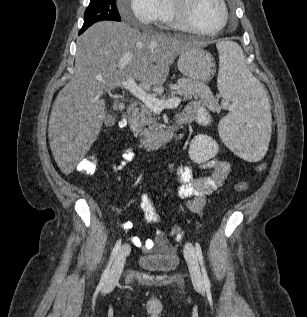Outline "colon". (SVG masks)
Returning a JSON list of instances; mask_svg holds the SVG:
<instances>
[{"mask_svg":"<svg viewBox=\"0 0 307 317\" xmlns=\"http://www.w3.org/2000/svg\"><path fill=\"white\" fill-rule=\"evenodd\" d=\"M127 125V121L125 117H122L118 126L121 129H124ZM98 159L94 154H89L85 156L78 163V170L85 175H93L97 170ZM266 169V164L261 163L256 166V171L262 172ZM249 187V183L247 181H240L234 185V191L237 193L245 192ZM140 207L144 216V219L150 224H157L160 221V216L155 209L150 197L148 195H143L140 202Z\"/></svg>","mask_w":307,"mask_h":317,"instance_id":"obj_1","label":"colon"}]
</instances>
